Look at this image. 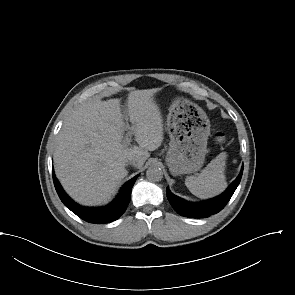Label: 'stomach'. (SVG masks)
<instances>
[{
	"instance_id": "stomach-1",
	"label": "stomach",
	"mask_w": 295,
	"mask_h": 295,
	"mask_svg": "<svg viewBox=\"0 0 295 295\" xmlns=\"http://www.w3.org/2000/svg\"><path fill=\"white\" fill-rule=\"evenodd\" d=\"M167 129L170 147L166 163L173 175L198 171L205 161L210 121L204 110L190 100L176 98L169 107Z\"/></svg>"
}]
</instances>
